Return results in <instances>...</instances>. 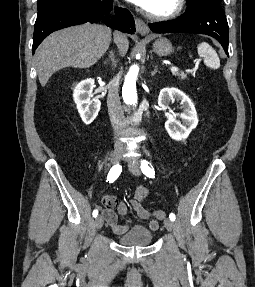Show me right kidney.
<instances>
[{
  "label": "right kidney",
  "instance_id": "right-kidney-1",
  "mask_svg": "<svg viewBox=\"0 0 255 287\" xmlns=\"http://www.w3.org/2000/svg\"><path fill=\"white\" fill-rule=\"evenodd\" d=\"M93 88L94 80L89 78V80H83V82L77 84L73 94L74 102L82 118V122L87 124V126L98 116L101 106L100 100L93 98Z\"/></svg>",
  "mask_w": 255,
  "mask_h": 287
}]
</instances>
